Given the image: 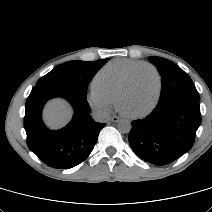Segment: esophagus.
Listing matches in <instances>:
<instances>
[{
    "label": "esophagus",
    "instance_id": "obj_1",
    "mask_svg": "<svg viewBox=\"0 0 212 212\" xmlns=\"http://www.w3.org/2000/svg\"><path fill=\"white\" fill-rule=\"evenodd\" d=\"M119 120H120V118H119L118 116H113V117L111 118V121L114 122V123L119 122Z\"/></svg>",
    "mask_w": 212,
    "mask_h": 212
}]
</instances>
